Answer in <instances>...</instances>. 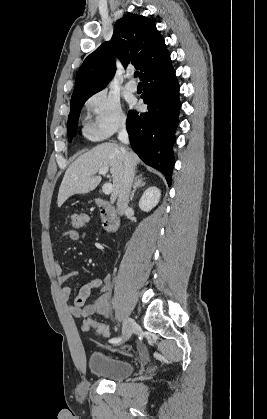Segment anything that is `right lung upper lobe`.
I'll list each match as a JSON object with an SVG mask.
<instances>
[{
    "instance_id": "right-lung-upper-lobe-1",
    "label": "right lung upper lobe",
    "mask_w": 267,
    "mask_h": 419,
    "mask_svg": "<svg viewBox=\"0 0 267 419\" xmlns=\"http://www.w3.org/2000/svg\"><path fill=\"white\" fill-rule=\"evenodd\" d=\"M117 56L124 67L132 64L140 70V79L170 60L164 38L148 17L126 14L114 25L109 42L101 44L84 60L76 75L71 99H78L102 90L116 71Z\"/></svg>"
}]
</instances>
